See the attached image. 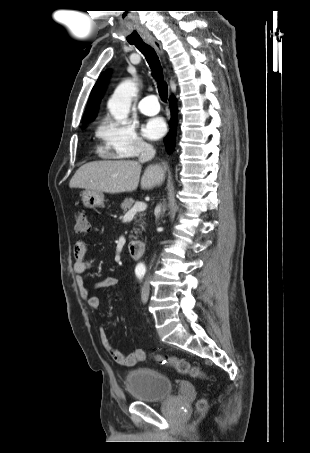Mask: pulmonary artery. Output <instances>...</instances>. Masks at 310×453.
Here are the masks:
<instances>
[{
	"label": "pulmonary artery",
	"mask_w": 310,
	"mask_h": 453,
	"mask_svg": "<svg viewBox=\"0 0 310 453\" xmlns=\"http://www.w3.org/2000/svg\"><path fill=\"white\" fill-rule=\"evenodd\" d=\"M138 108L141 113L149 116L156 115L160 111V106L155 95H148L142 98Z\"/></svg>",
	"instance_id": "1"
}]
</instances>
